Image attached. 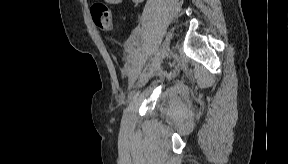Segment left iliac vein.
Segmentation results:
<instances>
[{
	"label": "left iliac vein",
	"instance_id": "4c4485c4",
	"mask_svg": "<svg viewBox=\"0 0 288 164\" xmlns=\"http://www.w3.org/2000/svg\"><path fill=\"white\" fill-rule=\"evenodd\" d=\"M136 79H137L136 76H132V77L130 78V81H129V85H130V87H132V86L134 85Z\"/></svg>",
	"mask_w": 288,
	"mask_h": 164
}]
</instances>
